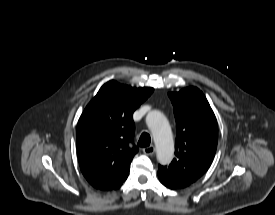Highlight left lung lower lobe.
Listing matches in <instances>:
<instances>
[{
  "mask_svg": "<svg viewBox=\"0 0 275 215\" xmlns=\"http://www.w3.org/2000/svg\"><path fill=\"white\" fill-rule=\"evenodd\" d=\"M158 177L161 183L170 189L184 188L189 185L172 179L165 171L158 170Z\"/></svg>",
  "mask_w": 275,
  "mask_h": 215,
  "instance_id": "left-lung-lower-lobe-1",
  "label": "left lung lower lobe"
}]
</instances>
